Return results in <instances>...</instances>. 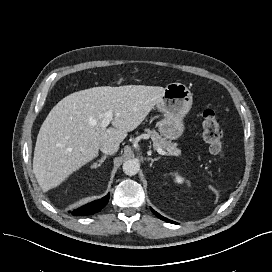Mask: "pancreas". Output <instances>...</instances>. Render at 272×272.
<instances>
[{
    "label": "pancreas",
    "mask_w": 272,
    "mask_h": 272,
    "mask_svg": "<svg viewBox=\"0 0 272 272\" xmlns=\"http://www.w3.org/2000/svg\"><path fill=\"white\" fill-rule=\"evenodd\" d=\"M147 135L153 141V147L155 149L161 148L168 151L170 155L179 156L181 151L177 148L175 143H172L170 140L159 135L155 130L146 129Z\"/></svg>",
    "instance_id": "pancreas-1"
}]
</instances>
